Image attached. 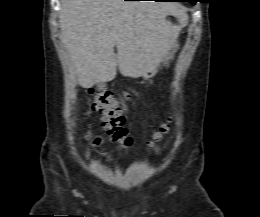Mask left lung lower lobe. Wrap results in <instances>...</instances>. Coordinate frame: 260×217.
<instances>
[{"label": "left lung lower lobe", "mask_w": 260, "mask_h": 217, "mask_svg": "<svg viewBox=\"0 0 260 217\" xmlns=\"http://www.w3.org/2000/svg\"><path fill=\"white\" fill-rule=\"evenodd\" d=\"M157 1H175V0H157ZM195 1H196V0H191L190 2H191L192 4H195Z\"/></svg>", "instance_id": "left-lung-lower-lobe-1"}]
</instances>
